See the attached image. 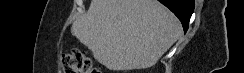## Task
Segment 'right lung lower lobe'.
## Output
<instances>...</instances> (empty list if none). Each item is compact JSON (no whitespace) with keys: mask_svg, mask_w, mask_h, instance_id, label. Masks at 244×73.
Here are the masks:
<instances>
[{"mask_svg":"<svg viewBox=\"0 0 244 73\" xmlns=\"http://www.w3.org/2000/svg\"><path fill=\"white\" fill-rule=\"evenodd\" d=\"M168 7L181 21L184 31L188 29L190 17L194 11V0H158Z\"/></svg>","mask_w":244,"mask_h":73,"instance_id":"98d812e1","label":"right lung lower lobe"}]
</instances>
